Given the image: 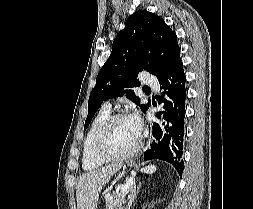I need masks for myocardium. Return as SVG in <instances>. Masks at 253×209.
<instances>
[{
    "label": "myocardium",
    "instance_id": "myocardium-1",
    "mask_svg": "<svg viewBox=\"0 0 253 209\" xmlns=\"http://www.w3.org/2000/svg\"><path fill=\"white\" fill-rule=\"evenodd\" d=\"M124 118H129V116L126 113L122 112L112 114L105 120V122L100 127L94 145V154L101 161L104 162L124 161L136 155L140 150L142 145V136L140 133H138V138L135 146L125 154L112 155L105 150L106 139L111 126L116 121Z\"/></svg>",
    "mask_w": 253,
    "mask_h": 209
}]
</instances>
